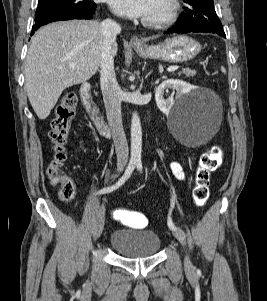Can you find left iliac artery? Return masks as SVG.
<instances>
[{"label": "left iliac artery", "mask_w": 267, "mask_h": 301, "mask_svg": "<svg viewBox=\"0 0 267 301\" xmlns=\"http://www.w3.org/2000/svg\"><path fill=\"white\" fill-rule=\"evenodd\" d=\"M136 166H137V169L139 171H142V163L141 161H137L136 162ZM174 202H175V198L174 196L172 195V198H171V209L169 211V215H168V225L171 229H174L176 226L174 225L173 221H172V218H171V211H172V208L174 207Z\"/></svg>", "instance_id": "obj_1"}]
</instances>
